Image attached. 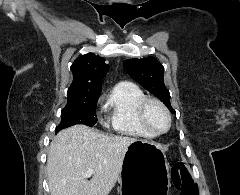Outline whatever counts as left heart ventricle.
<instances>
[{
  "label": "left heart ventricle",
  "mask_w": 240,
  "mask_h": 195,
  "mask_svg": "<svg viewBox=\"0 0 240 195\" xmlns=\"http://www.w3.org/2000/svg\"><path fill=\"white\" fill-rule=\"evenodd\" d=\"M147 116L149 123L157 130L162 131L167 125V120L164 113L155 105L148 108Z\"/></svg>",
  "instance_id": "left-heart-ventricle-1"
}]
</instances>
